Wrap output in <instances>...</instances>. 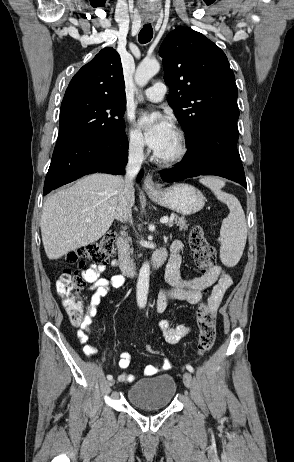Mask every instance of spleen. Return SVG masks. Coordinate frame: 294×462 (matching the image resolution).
I'll list each match as a JSON object with an SVG mask.
<instances>
[{
  "instance_id": "obj_1",
  "label": "spleen",
  "mask_w": 294,
  "mask_h": 462,
  "mask_svg": "<svg viewBox=\"0 0 294 462\" xmlns=\"http://www.w3.org/2000/svg\"><path fill=\"white\" fill-rule=\"evenodd\" d=\"M199 181L211 189L217 199L225 203L230 210L221 225L220 259L228 267L235 266L243 254L247 239V224L242 206L234 195L221 190L225 186L221 179L207 176Z\"/></svg>"
}]
</instances>
